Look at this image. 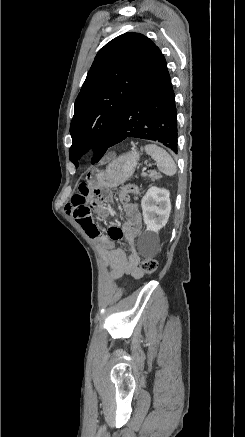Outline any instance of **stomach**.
Listing matches in <instances>:
<instances>
[{
    "label": "stomach",
    "instance_id": "0dacf381",
    "mask_svg": "<svg viewBox=\"0 0 245 437\" xmlns=\"http://www.w3.org/2000/svg\"><path fill=\"white\" fill-rule=\"evenodd\" d=\"M138 160L139 154L136 151L123 154L110 163L105 172L92 174L89 183L92 187L115 188L132 176Z\"/></svg>",
    "mask_w": 245,
    "mask_h": 437
}]
</instances>
